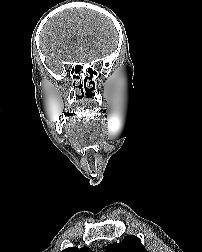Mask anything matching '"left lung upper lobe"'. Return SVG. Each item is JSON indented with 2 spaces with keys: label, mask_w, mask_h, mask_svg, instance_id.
<instances>
[{
  "label": "left lung upper lobe",
  "mask_w": 202,
  "mask_h": 252,
  "mask_svg": "<svg viewBox=\"0 0 202 252\" xmlns=\"http://www.w3.org/2000/svg\"><path fill=\"white\" fill-rule=\"evenodd\" d=\"M105 252H148L141 243V240L133 235H129L118 244H111Z\"/></svg>",
  "instance_id": "5c2ea615"
}]
</instances>
